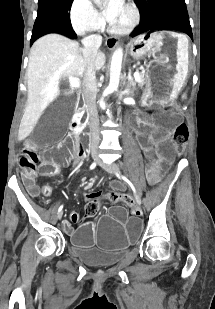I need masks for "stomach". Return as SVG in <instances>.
Instances as JSON below:
<instances>
[{"instance_id":"stomach-1","label":"stomach","mask_w":215,"mask_h":309,"mask_svg":"<svg viewBox=\"0 0 215 309\" xmlns=\"http://www.w3.org/2000/svg\"><path fill=\"white\" fill-rule=\"evenodd\" d=\"M188 38L174 31L142 34L128 44L135 60L152 55L146 65L147 93L155 99H173L181 90L188 74Z\"/></svg>"}]
</instances>
